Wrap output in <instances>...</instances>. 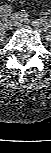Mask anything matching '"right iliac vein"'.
I'll return each mask as SVG.
<instances>
[{"label":"right iliac vein","mask_w":51,"mask_h":153,"mask_svg":"<svg viewBox=\"0 0 51 153\" xmlns=\"http://www.w3.org/2000/svg\"><path fill=\"white\" fill-rule=\"evenodd\" d=\"M12 26H13L12 22L7 19L5 21H3V23H2V28L6 29V30L11 29Z\"/></svg>","instance_id":"right-iliac-vein-1"}]
</instances>
